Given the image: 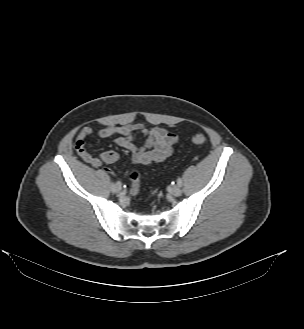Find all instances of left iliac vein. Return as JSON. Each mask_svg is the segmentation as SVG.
Wrapping results in <instances>:
<instances>
[{"label": "left iliac vein", "mask_w": 304, "mask_h": 329, "mask_svg": "<svg viewBox=\"0 0 304 329\" xmlns=\"http://www.w3.org/2000/svg\"><path fill=\"white\" fill-rule=\"evenodd\" d=\"M170 193L173 195V196H180L181 193H182V190L180 188L179 185H175L171 188V191Z\"/></svg>", "instance_id": "obj_1"}]
</instances>
